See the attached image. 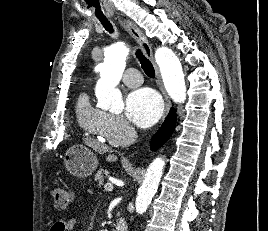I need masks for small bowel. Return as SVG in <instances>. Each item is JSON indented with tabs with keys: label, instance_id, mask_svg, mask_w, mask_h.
<instances>
[{
	"label": "small bowel",
	"instance_id": "obj_1",
	"mask_svg": "<svg viewBox=\"0 0 268 231\" xmlns=\"http://www.w3.org/2000/svg\"><path fill=\"white\" fill-rule=\"evenodd\" d=\"M77 226V218L71 217H60L51 226L50 231H74Z\"/></svg>",
	"mask_w": 268,
	"mask_h": 231
}]
</instances>
